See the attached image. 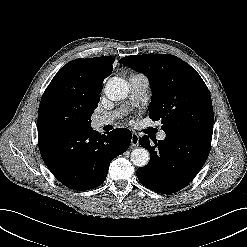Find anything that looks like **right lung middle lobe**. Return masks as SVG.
<instances>
[{
  "label": "right lung middle lobe",
  "mask_w": 247,
  "mask_h": 247,
  "mask_svg": "<svg viewBox=\"0 0 247 247\" xmlns=\"http://www.w3.org/2000/svg\"><path fill=\"white\" fill-rule=\"evenodd\" d=\"M78 67L69 62L46 88L39 106L38 121L44 120L71 130L90 128V117L100 95L80 80Z\"/></svg>",
  "instance_id": "1"
}]
</instances>
